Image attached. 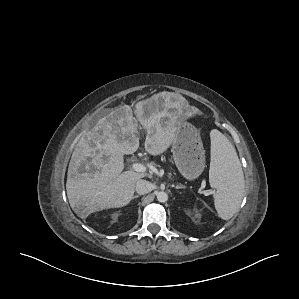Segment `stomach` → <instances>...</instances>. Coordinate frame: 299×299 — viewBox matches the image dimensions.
<instances>
[{"label":"stomach","instance_id":"0dacf381","mask_svg":"<svg viewBox=\"0 0 299 299\" xmlns=\"http://www.w3.org/2000/svg\"><path fill=\"white\" fill-rule=\"evenodd\" d=\"M172 153L180 173L188 180L198 178L205 167V151L200 132L183 121L175 125Z\"/></svg>","mask_w":299,"mask_h":299}]
</instances>
